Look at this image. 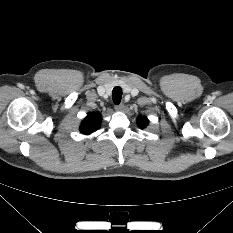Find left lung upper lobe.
Listing matches in <instances>:
<instances>
[{
	"label": "left lung upper lobe",
	"instance_id": "obj_1",
	"mask_svg": "<svg viewBox=\"0 0 233 233\" xmlns=\"http://www.w3.org/2000/svg\"><path fill=\"white\" fill-rule=\"evenodd\" d=\"M148 123H149V121L146 117L142 116V117L138 118L137 124H138L139 128H141V129L146 128Z\"/></svg>",
	"mask_w": 233,
	"mask_h": 233
}]
</instances>
